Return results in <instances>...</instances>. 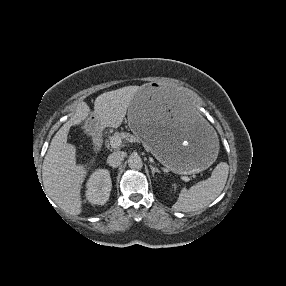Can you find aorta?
<instances>
[{
    "label": "aorta",
    "mask_w": 286,
    "mask_h": 286,
    "mask_svg": "<svg viewBox=\"0 0 286 286\" xmlns=\"http://www.w3.org/2000/svg\"><path fill=\"white\" fill-rule=\"evenodd\" d=\"M128 165L131 169H141L143 167V162L140 156L138 155H131L128 158Z\"/></svg>",
    "instance_id": "obj_1"
}]
</instances>
